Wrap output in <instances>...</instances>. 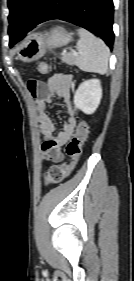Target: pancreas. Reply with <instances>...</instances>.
I'll list each match as a JSON object with an SVG mask.
<instances>
[{
	"label": "pancreas",
	"mask_w": 134,
	"mask_h": 281,
	"mask_svg": "<svg viewBox=\"0 0 134 281\" xmlns=\"http://www.w3.org/2000/svg\"><path fill=\"white\" fill-rule=\"evenodd\" d=\"M62 61L69 64V65H75L76 64V56L72 53H64L62 55Z\"/></svg>",
	"instance_id": "cf45deb5"
}]
</instances>
